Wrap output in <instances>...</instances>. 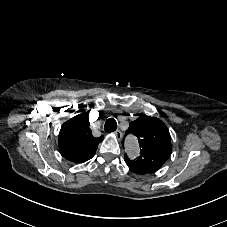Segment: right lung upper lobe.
Masks as SVG:
<instances>
[{
    "label": "right lung upper lobe",
    "instance_id": "cb5924a9",
    "mask_svg": "<svg viewBox=\"0 0 227 227\" xmlns=\"http://www.w3.org/2000/svg\"><path fill=\"white\" fill-rule=\"evenodd\" d=\"M87 113H81L65 122L59 133L60 153L74 163H83L91 159L104 138H95L92 135Z\"/></svg>",
    "mask_w": 227,
    "mask_h": 227
}]
</instances>
